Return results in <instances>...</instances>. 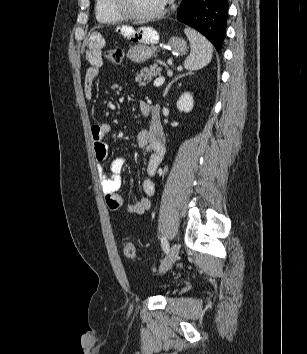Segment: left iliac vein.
<instances>
[{
	"label": "left iliac vein",
	"instance_id": "left-iliac-vein-1",
	"mask_svg": "<svg viewBox=\"0 0 307 354\" xmlns=\"http://www.w3.org/2000/svg\"><path fill=\"white\" fill-rule=\"evenodd\" d=\"M180 246L177 243H174L169 252L167 253V256L163 260L161 266H160V273H165L167 272L175 263L178 254H179Z\"/></svg>",
	"mask_w": 307,
	"mask_h": 354
}]
</instances>
